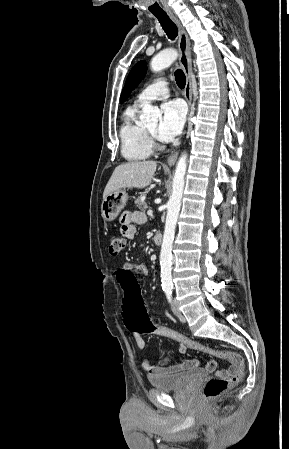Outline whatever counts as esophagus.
Here are the masks:
<instances>
[{
  "label": "esophagus",
  "mask_w": 289,
  "mask_h": 449,
  "mask_svg": "<svg viewBox=\"0 0 289 449\" xmlns=\"http://www.w3.org/2000/svg\"><path fill=\"white\" fill-rule=\"evenodd\" d=\"M171 18L176 23L179 29V39H178V50H179V63L186 76V85L184 90V97L187 101L188 108L190 111L191 101H192V79H191V51H190V41L185 29L182 27L180 22L176 17L170 13ZM178 157V151L170 155L167 160V164L172 166Z\"/></svg>",
  "instance_id": "obj_1"
}]
</instances>
